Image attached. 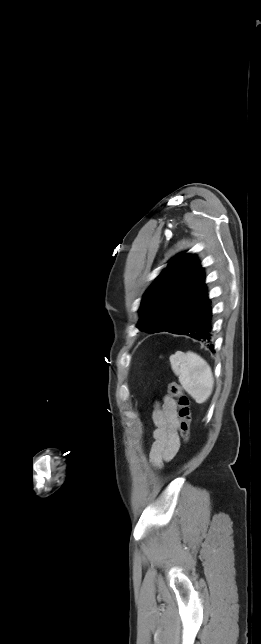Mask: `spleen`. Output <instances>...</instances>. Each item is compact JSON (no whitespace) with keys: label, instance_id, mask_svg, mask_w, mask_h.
I'll return each mask as SVG.
<instances>
[{"label":"spleen","instance_id":"1","mask_svg":"<svg viewBox=\"0 0 261 644\" xmlns=\"http://www.w3.org/2000/svg\"><path fill=\"white\" fill-rule=\"evenodd\" d=\"M171 369L184 390L199 404L212 394L214 379L210 366L198 354L177 351L169 358Z\"/></svg>","mask_w":261,"mask_h":644}]
</instances>
